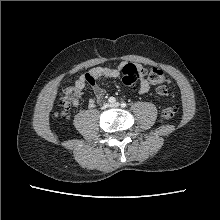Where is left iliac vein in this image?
Listing matches in <instances>:
<instances>
[{"label": "left iliac vein", "mask_w": 220, "mask_h": 220, "mask_svg": "<svg viewBox=\"0 0 220 220\" xmlns=\"http://www.w3.org/2000/svg\"><path fill=\"white\" fill-rule=\"evenodd\" d=\"M112 107H119L120 103L119 102H115L114 104L111 105Z\"/></svg>", "instance_id": "4c4485c4"}]
</instances>
